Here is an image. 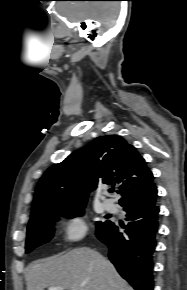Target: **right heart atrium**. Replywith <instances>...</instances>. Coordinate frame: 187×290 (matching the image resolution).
Listing matches in <instances>:
<instances>
[{
    "instance_id": "d8ad5b80",
    "label": "right heart atrium",
    "mask_w": 187,
    "mask_h": 290,
    "mask_svg": "<svg viewBox=\"0 0 187 290\" xmlns=\"http://www.w3.org/2000/svg\"><path fill=\"white\" fill-rule=\"evenodd\" d=\"M88 230L87 220L81 214L71 215L63 222V237L68 245H74L83 240Z\"/></svg>"
}]
</instances>
